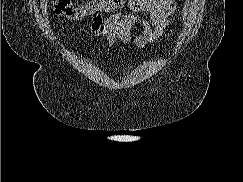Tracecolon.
Segmentation results:
<instances>
[{"label": "colon", "instance_id": "1", "mask_svg": "<svg viewBox=\"0 0 243 182\" xmlns=\"http://www.w3.org/2000/svg\"><path fill=\"white\" fill-rule=\"evenodd\" d=\"M55 13L70 20H82L100 13H112L123 9L130 0H90L76 5L73 0H52Z\"/></svg>", "mask_w": 243, "mask_h": 182}]
</instances>
